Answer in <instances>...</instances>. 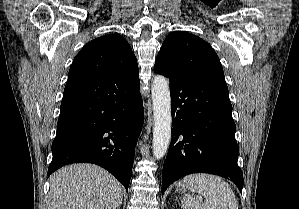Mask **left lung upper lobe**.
I'll list each match as a JSON object with an SVG mask.
<instances>
[{
	"label": "left lung upper lobe",
	"mask_w": 299,
	"mask_h": 209,
	"mask_svg": "<svg viewBox=\"0 0 299 209\" xmlns=\"http://www.w3.org/2000/svg\"><path fill=\"white\" fill-rule=\"evenodd\" d=\"M154 70L170 77L225 81L219 57L209 43L184 31L170 33L162 44Z\"/></svg>",
	"instance_id": "5c2ea615"
}]
</instances>
